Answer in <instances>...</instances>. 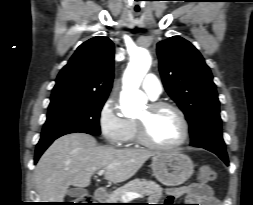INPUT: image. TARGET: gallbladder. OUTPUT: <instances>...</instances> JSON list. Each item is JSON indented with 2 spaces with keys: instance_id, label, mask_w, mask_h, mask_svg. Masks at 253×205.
Returning a JSON list of instances; mask_svg holds the SVG:
<instances>
[{
  "instance_id": "obj_1",
  "label": "gallbladder",
  "mask_w": 253,
  "mask_h": 205,
  "mask_svg": "<svg viewBox=\"0 0 253 205\" xmlns=\"http://www.w3.org/2000/svg\"><path fill=\"white\" fill-rule=\"evenodd\" d=\"M67 194L75 198H83L88 195V191L81 188H71L67 191Z\"/></svg>"
}]
</instances>
